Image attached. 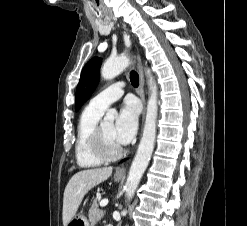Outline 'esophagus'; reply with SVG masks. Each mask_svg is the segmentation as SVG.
I'll use <instances>...</instances> for the list:
<instances>
[{"instance_id": "obj_1", "label": "esophagus", "mask_w": 247, "mask_h": 226, "mask_svg": "<svg viewBox=\"0 0 247 226\" xmlns=\"http://www.w3.org/2000/svg\"><path fill=\"white\" fill-rule=\"evenodd\" d=\"M137 59H138V62H139V66H138V71H139V91H138V93H139V96H140L141 101L143 103L142 122H144V119H145V107H146V99H145V91H144L145 80H144L143 69L141 67V57H140L139 54L137 55ZM126 166L127 165H124V166L118 168L116 170V174L117 175H124L125 172H126Z\"/></svg>"}]
</instances>
